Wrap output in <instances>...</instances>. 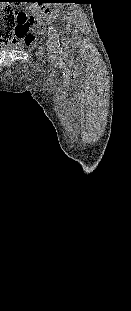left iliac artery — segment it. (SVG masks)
I'll return each mask as SVG.
<instances>
[{"mask_svg":"<svg viewBox=\"0 0 131 311\" xmlns=\"http://www.w3.org/2000/svg\"><path fill=\"white\" fill-rule=\"evenodd\" d=\"M48 36L52 47L55 50H59L60 49L59 36L57 31L53 27L49 28Z\"/></svg>","mask_w":131,"mask_h":311,"instance_id":"44dca946","label":"left iliac artery"}]
</instances>
